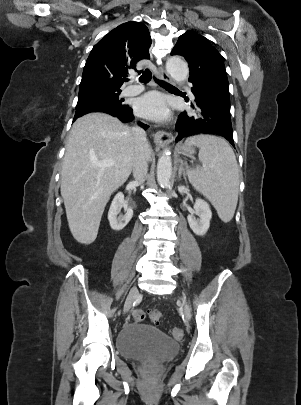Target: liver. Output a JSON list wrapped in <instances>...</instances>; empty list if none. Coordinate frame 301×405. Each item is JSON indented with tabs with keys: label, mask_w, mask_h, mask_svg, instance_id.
Masks as SVG:
<instances>
[{
	"label": "liver",
	"mask_w": 301,
	"mask_h": 405,
	"mask_svg": "<svg viewBox=\"0 0 301 405\" xmlns=\"http://www.w3.org/2000/svg\"><path fill=\"white\" fill-rule=\"evenodd\" d=\"M146 160L152 148L143 147ZM135 140L132 129L117 118L90 113L78 118L70 131L61 170V195L73 237L92 243L98 234L105 206L132 172ZM114 160L113 166L98 163Z\"/></svg>",
	"instance_id": "6515ba94"
}]
</instances>
